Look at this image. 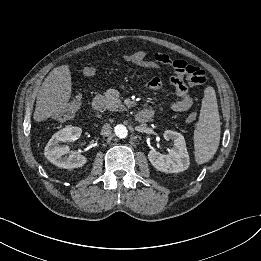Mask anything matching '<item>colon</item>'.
I'll use <instances>...</instances> for the list:
<instances>
[{
	"mask_svg": "<svg viewBox=\"0 0 261 261\" xmlns=\"http://www.w3.org/2000/svg\"><path fill=\"white\" fill-rule=\"evenodd\" d=\"M168 65L173 69L178 77L187 80L191 85H203L208 81V78L202 68L189 64L184 60L172 59ZM145 67L154 68L156 67V63L147 61L145 63ZM82 102V96L80 94H75L68 104L60 110L54 112L52 117L58 120H63L74 116L81 109ZM194 117V115H191L189 120H193Z\"/></svg>",
	"mask_w": 261,
	"mask_h": 261,
	"instance_id": "1",
	"label": "colon"
}]
</instances>
